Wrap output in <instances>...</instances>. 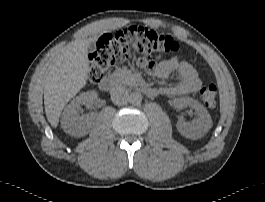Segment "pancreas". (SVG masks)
Returning a JSON list of instances; mask_svg holds the SVG:
<instances>
[{"label": "pancreas", "instance_id": "cf45deb5", "mask_svg": "<svg viewBox=\"0 0 265 202\" xmlns=\"http://www.w3.org/2000/svg\"><path fill=\"white\" fill-rule=\"evenodd\" d=\"M114 75L120 80L124 85L134 86L137 84L134 73L126 68H118Z\"/></svg>", "mask_w": 265, "mask_h": 202}]
</instances>
